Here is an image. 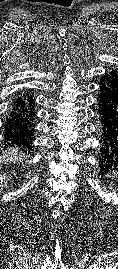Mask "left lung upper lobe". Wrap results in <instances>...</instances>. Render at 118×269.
Returning <instances> with one entry per match:
<instances>
[{
    "instance_id": "1",
    "label": "left lung upper lobe",
    "mask_w": 118,
    "mask_h": 269,
    "mask_svg": "<svg viewBox=\"0 0 118 269\" xmlns=\"http://www.w3.org/2000/svg\"><path fill=\"white\" fill-rule=\"evenodd\" d=\"M101 83L110 87L114 91H118V73L114 70L106 73L101 79Z\"/></svg>"
}]
</instances>
